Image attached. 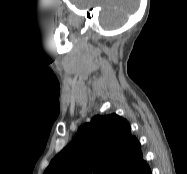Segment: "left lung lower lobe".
I'll use <instances>...</instances> for the list:
<instances>
[{"mask_svg":"<svg viewBox=\"0 0 187 174\" xmlns=\"http://www.w3.org/2000/svg\"><path fill=\"white\" fill-rule=\"evenodd\" d=\"M130 174H152L148 164H137Z\"/></svg>","mask_w":187,"mask_h":174,"instance_id":"obj_1","label":"left lung lower lobe"}]
</instances>
